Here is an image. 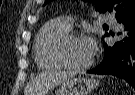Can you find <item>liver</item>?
I'll return each mask as SVG.
<instances>
[{
	"label": "liver",
	"mask_w": 135,
	"mask_h": 95,
	"mask_svg": "<svg viewBox=\"0 0 135 95\" xmlns=\"http://www.w3.org/2000/svg\"><path fill=\"white\" fill-rule=\"evenodd\" d=\"M74 72L46 71L36 76L26 87L24 95H45L51 88L73 78Z\"/></svg>",
	"instance_id": "liver-1"
}]
</instances>
